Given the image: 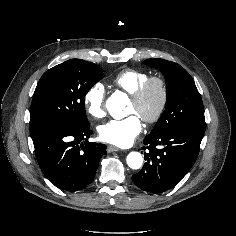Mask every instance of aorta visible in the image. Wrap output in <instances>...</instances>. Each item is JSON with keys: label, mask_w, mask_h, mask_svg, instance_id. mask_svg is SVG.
Segmentation results:
<instances>
[{"label": "aorta", "mask_w": 236, "mask_h": 236, "mask_svg": "<svg viewBox=\"0 0 236 236\" xmlns=\"http://www.w3.org/2000/svg\"><path fill=\"white\" fill-rule=\"evenodd\" d=\"M127 99V96L122 92H115L108 98L106 108L113 118H122V111L126 105ZM126 161L131 169H139L143 164V158L139 152H130L127 155Z\"/></svg>", "instance_id": "1"}]
</instances>
